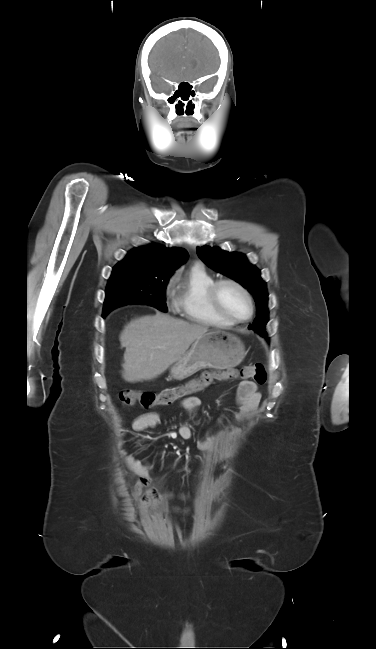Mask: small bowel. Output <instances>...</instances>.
<instances>
[{
	"label": "small bowel",
	"instance_id": "obj_1",
	"mask_svg": "<svg viewBox=\"0 0 376 649\" xmlns=\"http://www.w3.org/2000/svg\"><path fill=\"white\" fill-rule=\"evenodd\" d=\"M261 399L262 395L256 383L253 381L240 382L237 390L239 416H246L250 412L256 410L260 405ZM180 406L190 418H193L196 416L197 411L201 406V401L197 397H189L181 401ZM159 422L160 414L158 412H148L138 416L134 420L132 428L134 431H143L157 426ZM175 435L179 436L183 440H189L193 436V429L189 423H184L178 428ZM222 439L223 435L221 433L205 434L198 441V448L203 451L214 449L222 442ZM125 461L129 469L137 478L132 495L136 498H140L145 506H148L151 502H157L159 494L155 490H148L143 493V489L151 481L150 466L130 456H126Z\"/></svg>",
	"mask_w": 376,
	"mask_h": 649
}]
</instances>
